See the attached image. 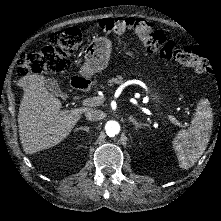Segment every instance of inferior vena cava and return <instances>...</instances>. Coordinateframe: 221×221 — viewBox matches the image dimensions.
<instances>
[{"mask_svg": "<svg viewBox=\"0 0 221 221\" xmlns=\"http://www.w3.org/2000/svg\"><path fill=\"white\" fill-rule=\"evenodd\" d=\"M85 117L89 121H100L106 117V114L99 109H88L85 112Z\"/></svg>", "mask_w": 221, "mask_h": 221, "instance_id": "inferior-vena-cava-1", "label": "inferior vena cava"}]
</instances>
